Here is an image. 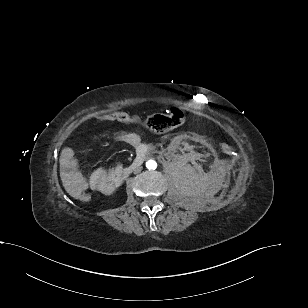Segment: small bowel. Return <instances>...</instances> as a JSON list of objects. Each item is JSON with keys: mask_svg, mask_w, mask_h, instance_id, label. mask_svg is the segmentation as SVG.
Masks as SVG:
<instances>
[{"mask_svg": "<svg viewBox=\"0 0 308 308\" xmlns=\"http://www.w3.org/2000/svg\"><path fill=\"white\" fill-rule=\"evenodd\" d=\"M117 139L135 148L142 145L141 137L136 132H122ZM60 164L63 172L70 180L71 193L76 195L83 191H97L104 194L112 193L120 183L121 167L116 166L109 170L96 169L89 177H85L79 170L77 160L71 149H64L60 155Z\"/></svg>", "mask_w": 308, "mask_h": 308, "instance_id": "1", "label": "small bowel"}]
</instances>
